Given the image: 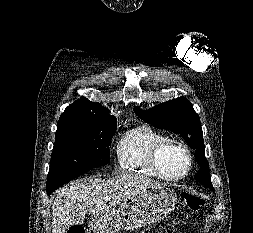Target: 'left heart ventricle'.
Masks as SVG:
<instances>
[{
  "mask_svg": "<svg viewBox=\"0 0 253 233\" xmlns=\"http://www.w3.org/2000/svg\"><path fill=\"white\" fill-rule=\"evenodd\" d=\"M164 170L168 175L182 174L187 167V158L182 151L173 150L164 157Z\"/></svg>",
  "mask_w": 253,
  "mask_h": 233,
  "instance_id": "left-heart-ventricle-1",
  "label": "left heart ventricle"
}]
</instances>
